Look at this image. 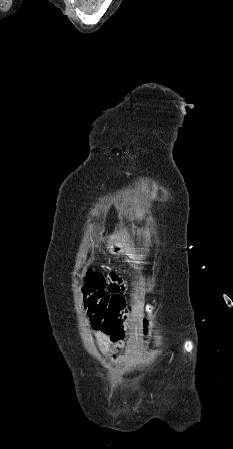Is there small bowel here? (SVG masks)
Wrapping results in <instances>:
<instances>
[{
    "label": "small bowel",
    "instance_id": "1",
    "mask_svg": "<svg viewBox=\"0 0 233 449\" xmlns=\"http://www.w3.org/2000/svg\"><path fill=\"white\" fill-rule=\"evenodd\" d=\"M107 277L109 278V286L105 289L106 294L120 296L122 291L127 289V284L118 270H109ZM121 297L123 296L121 295ZM89 324L92 337L96 344L103 352L111 353L112 359L116 360L117 350L125 347L123 342L125 328H93L90 317Z\"/></svg>",
    "mask_w": 233,
    "mask_h": 449
}]
</instances>
